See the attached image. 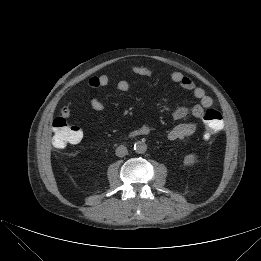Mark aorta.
Masks as SVG:
<instances>
[{
    "instance_id": "aorta-1",
    "label": "aorta",
    "mask_w": 261,
    "mask_h": 261,
    "mask_svg": "<svg viewBox=\"0 0 261 261\" xmlns=\"http://www.w3.org/2000/svg\"><path fill=\"white\" fill-rule=\"evenodd\" d=\"M134 150L138 154H144L146 152V150H147V145L143 141H137L134 144Z\"/></svg>"
}]
</instances>
